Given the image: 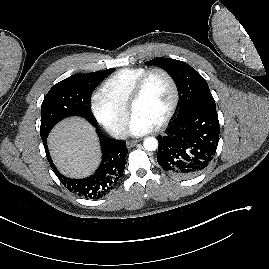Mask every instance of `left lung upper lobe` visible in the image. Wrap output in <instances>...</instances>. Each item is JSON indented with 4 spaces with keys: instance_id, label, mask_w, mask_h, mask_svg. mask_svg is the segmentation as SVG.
<instances>
[{
    "instance_id": "1",
    "label": "left lung upper lobe",
    "mask_w": 269,
    "mask_h": 269,
    "mask_svg": "<svg viewBox=\"0 0 269 269\" xmlns=\"http://www.w3.org/2000/svg\"><path fill=\"white\" fill-rule=\"evenodd\" d=\"M146 64L158 66L174 78L180 96L177 119L197 108H216L206 80L189 64L162 57Z\"/></svg>"
}]
</instances>
